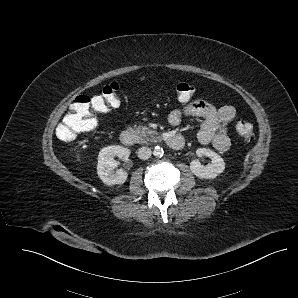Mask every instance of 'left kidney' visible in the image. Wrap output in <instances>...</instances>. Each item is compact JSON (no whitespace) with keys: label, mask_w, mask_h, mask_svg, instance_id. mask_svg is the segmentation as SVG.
Here are the masks:
<instances>
[{"label":"left kidney","mask_w":298,"mask_h":298,"mask_svg":"<svg viewBox=\"0 0 298 298\" xmlns=\"http://www.w3.org/2000/svg\"><path fill=\"white\" fill-rule=\"evenodd\" d=\"M196 155L198 157L207 156L211 159V163L206 166L202 165L198 159L190 162V170L198 178L214 179L224 171V160L216 152L207 148H198Z\"/></svg>","instance_id":"1"}]
</instances>
